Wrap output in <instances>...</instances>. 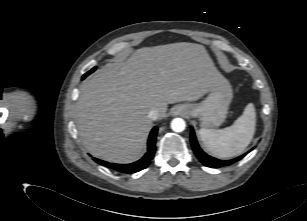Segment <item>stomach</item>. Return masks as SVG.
Listing matches in <instances>:
<instances>
[{
    "label": "stomach",
    "instance_id": "stomach-1",
    "mask_svg": "<svg viewBox=\"0 0 307 221\" xmlns=\"http://www.w3.org/2000/svg\"><path fill=\"white\" fill-rule=\"evenodd\" d=\"M233 91L230 83L224 78L213 87L207 97L199 103L184 104L191 117L199 118L203 128L221 125L228 114Z\"/></svg>",
    "mask_w": 307,
    "mask_h": 221
}]
</instances>
